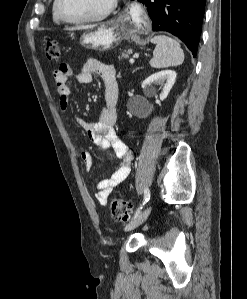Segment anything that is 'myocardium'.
<instances>
[{
  "label": "myocardium",
  "mask_w": 247,
  "mask_h": 299,
  "mask_svg": "<svg viewBox=\"0 0 247 299\" xmlns=\"http://www.w3.org/2000/svg\"><path fill=\"white\" fill-rule=\"evenodd\" d=\"M60 2L61 0H55L54 1V11L57 15V17L68 24H84V23H94V22H99L104 20L105 18H107L112 11L115 9L116 4H117V0H111L108 4V6L99 14L91 16V17H85V18H76V19H72V18H68L66 17L61 9H60Z\"/></svg>",
  "instance_id": "f54148a6"
}]
</instances>
